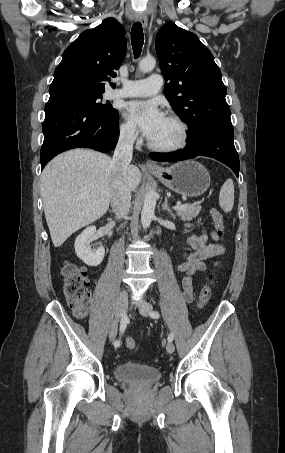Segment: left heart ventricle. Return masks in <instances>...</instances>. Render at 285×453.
I'll use <instances>...</instances> for the list:
<instances>
[{"mask_svg":"<svg viewBox=\"0 0 285 453\" xmlns=\"http://www.w3.org/2000/svg\"><path fill=\"white\" fill-rule=\"evenodd\" d=\"M180 135V128L178 125L165 117L150 140L158 145H173L179 141Z\"/></svg>","mask_w":285,"mask_h":453,"instance_id":"b2bd125f","label":"left heart ventricle"}]
</instances>
